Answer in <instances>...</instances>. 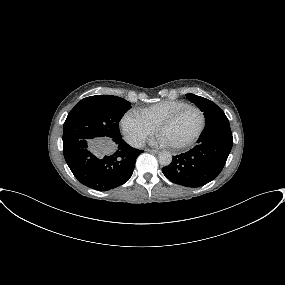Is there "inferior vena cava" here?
<instances>
[{
  "mask_svg": "<svg viewBox=\"0 0 285 285\" xmlns=\"http://www.w3.org/2000/svg\"><path fill=\"white\" fill-rule=\"evenodd\" d=\"M129 144L134 148H141L144 145V141L139 138H131Z\"/></svg>",
  "mask_w": 285,
  "mask_h": 285,
  "instance_id": "602c4592",
  "label": "inferior vena cava"
}]
</instances>
